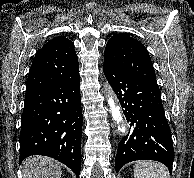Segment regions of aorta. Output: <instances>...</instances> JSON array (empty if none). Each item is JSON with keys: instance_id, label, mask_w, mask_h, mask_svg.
<instances>
[{"instance_id": "1", "label": "aorta", "mask_w": 194, "mask_h": 178, "mask_svg": "<svg viewBox=\"0 0 194 178\" xmlns=\"http://www.w3.org/2000/svg\"><path fill=\"white\" fill-rule=\"evenodd\" d=\"M108 93H109L108 94V105L110 107V111H111L113 120L118 125V130L122 133H125L126 128L123 127V126L122 127L119 126L121 124V122L123 121L121 111H120V107L115 103V101L112 97V91H109Z\"/></svg>"}]
</instances>
